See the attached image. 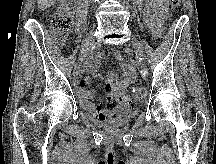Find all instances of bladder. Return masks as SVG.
Masks as SVG:
<instances>
[{
    "label": "bladder",
    "mask_w": 216,
    "mask_h": 164,
    "mask_svg": "<svg viewBox=\"0 0 216 164\" xmlns=\"http://www.w3.org/2000/svg\"><path fill=\"white\" fill-rule=\"evenodd\" d=\"M138 112L136 108L124 106L116 109V115L106 121H96L97 125L105 127H117L127 124Z\"/></svg>",
    "instance_id": "obj_1"
}]
</instances>
